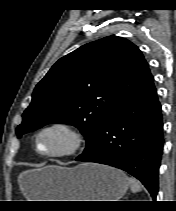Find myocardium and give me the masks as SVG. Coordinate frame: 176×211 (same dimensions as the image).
<instances>
[{
  "label": "myocardium",
  "mask_w": 176,
  "mask_h": 211,
  "mask_svg": "<svg viewBox=\"0 0 176 211\" xmlns=\"http://www.w3.org/2000/svg\"><path fill=\"white\" fill-rule=\"evenodd\" d=\"M49 132H59L66 136L68 144L64 148L53 151H42L39 139ZM84 144L83 134L72 124L64 121H52L39 127L34 134V148L38 155L44 158H61L76 154Z\"/></svg>",
  "instance_id": "1"
}]
</instances>
